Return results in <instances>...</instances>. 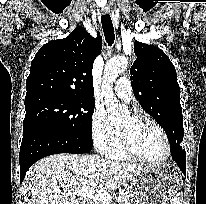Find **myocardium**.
Returning <instances> with one entry per match:
<instances>
[{"label": "myocardium", "instance_id": "1", "mask_svg": "<svg viewBox=\"0 0 206 204\" xmlns=\"http://www.w3.org/2000/svg\"><path fill=\"white\" fill-rule=\"evenodd\" d=\"M131 119L135 122H140V121H146L150 123L152 126H154L162 135L165 145H166V154L164 157L157 159V160H152L148 159L144 156H142L133 146L132 141L129 137V135L120 129L118 127V134L120 138V143L122 145L123 150L133 159L147 163V164H152V165H158L166 162L172 155V145L169 139V136L165 129L157 122L155 121L152 117L143 114V113H131L129 115Z\"/></svg>", "mask_w": 206, "mask_h": 204}]
</instances>
